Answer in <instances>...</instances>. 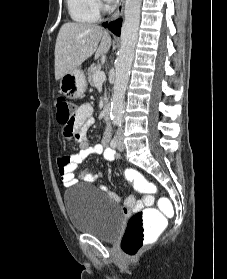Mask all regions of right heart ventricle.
<instances>
[{
  "label": "right heart ventricle",
  "instance_id": "obj_1",
  "mask_svg": "<svg viewBox=\"0 0 227 279\" xmlns=\"http://www.w3.org/2000/svg\"><path fill=\"white\" fill-rule=\"evenodd\" d=\"M70 17L81 23L95 22L98 19V10L92 0H67Z\"/></svg>",
  "mask_w": 227,
  "mask_h": 279
}]
</instances>
